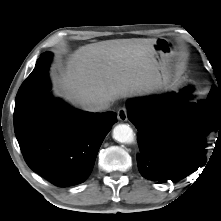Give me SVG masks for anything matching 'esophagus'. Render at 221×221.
Listing matches in <instances>:
<instances>
[{
    "label": "esophagus",
    "instance_id": "esophagus-1",
    "mask_svg": "<svg viewBox=\"0 0 221 221\" xmlns=\"http://www.w3.org/2000/svg\"><path fill=\"white\" fill-rule=\"evenodd\" d=\"M117 117L120 121L125 122L127 120V109L121 107L117 112Z\"/></svg>",
    "mask_w": 221,
    "mask_h": 221
}]
</instances>
